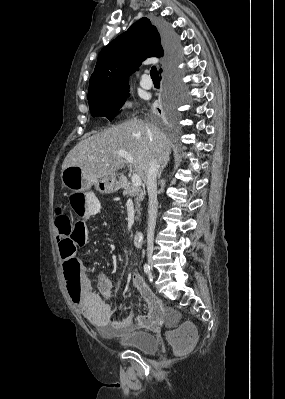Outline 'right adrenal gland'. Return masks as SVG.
<instances>
[{"mask_svg": "<svg viewBox=\"0 0 285 399\" xmlns=\"http://www.w3.org/2000/svg\"><path fill=\"white\" fill-rule=\"evenodd\" d=\"M164 167H165V166H162V167L159 169V173H158V178H159V179H160V177H161V174H162V171H163Z\"/></svg>", "mask_w": 285, "mask_h": 399, "instance_id": "right-adrenal-gland-1", "label": "right adrenal gland"}]
</instances>
